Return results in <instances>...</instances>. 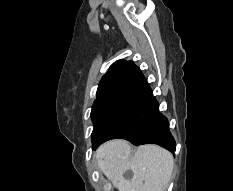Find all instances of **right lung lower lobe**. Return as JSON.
<instances>
[{
    "label": "right lung lower lobe",
    "mask_w": 233,
    "mask_h": 191,
    "mask_svg": "<svg viewBox=\"0 0 233 191\" xmlns=\"http://www.w3.org/2000/svg\"><path fill=\"white\" fill-rule=\"evenodd\" d=\"M126 94V106L92 147L110 139L123 138L137 146L155 143L173 153L176 144L168 120L159 113V104L145 77L142 75Z\"/></svg>",
    "instance_id": "1"
}]
</instances>
